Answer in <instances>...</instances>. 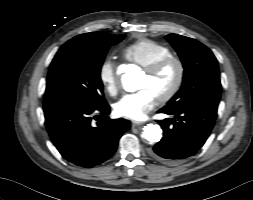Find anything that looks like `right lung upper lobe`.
Masks as SVG:
<instances>
[{
  "mask_svg": "<svg viewBox=\"0 0 253 200\" xmlns=\"http://www.w3.org/2000/svg\"><path fill=\"white\" fill-rule=\"evenodd\" d=\"M110 36H112V35H111V34H108V33H103V32H91V33H85V34L78 35L77 37H81V38H86V39H90V40L99 41V40L107 39V38H109Z\"/></svg>",
  "mask_w": 253,
  "mask_h": 200,
  "instance_id": "right-lung-upper-lobe-1",
  "label": "right lung upper lobe"
}]
</instances>
